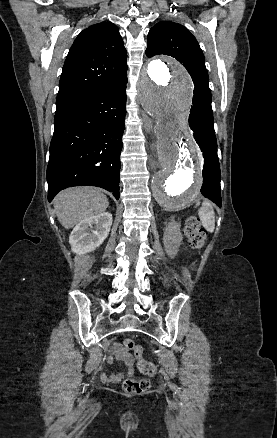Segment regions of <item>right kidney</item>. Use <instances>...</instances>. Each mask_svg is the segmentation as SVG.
<instances>
[{"label":"right kidney","mask_w":277,"mask_h":438,"mask_svg":"<svg viewBox=\"0 0 277 438\" xmlns=\"http://www.w3.org/2000/svg\"><path fill=\"white\" fill-rule=\"evenodd\" d=\"M112 226V214L102 212L79 222L69 236L74 254H87L99 248L106 240Z\"/></svg>","instance_id":"ca27d5eb"}]
</instances>
